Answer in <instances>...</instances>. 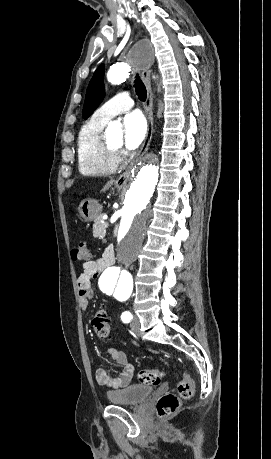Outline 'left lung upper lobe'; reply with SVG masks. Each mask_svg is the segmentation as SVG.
<instances>
[{
	"mask_svg": "<svg viewBox=\"0 0 271 459\" xmlns=\"http://www.w3.org/2000/svg\"><path fill=\"white\" fill-rule=\"evenodd\" d=\"M104 66L101 65L95 71L87 88L82 117L88 118L90 114L100 105L105 96L103 84Z\"/></svg>",
	"mask_w": 271,
	"mask_h": 459,
	"instance_id": "left-lung-upper-lobe-1",
	"label": "left lung upper lobe"
}]
</instances>
